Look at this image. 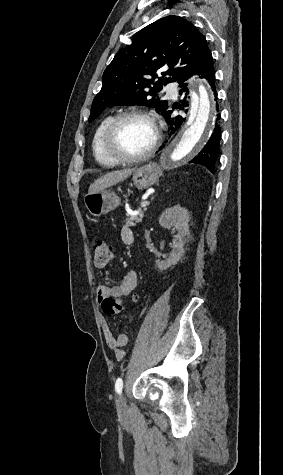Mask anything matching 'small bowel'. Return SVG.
I'll use <instances>...</instances> for the list:
<instances>
[{
    "instance_id": "1",
    "label": "small bowel",
    "mask_w": 283,
    "mask_h": 475,
    "mask_svg": "<svg viewBox=\"0 0 283 475\" xmlns=\"http://www.w3.org/2000/svg\"><path fill=\"white\" fill-rule=\"evenodd\" d=\"M122 242L127 245L131 246L135 242V236L133 231L130 227L124 226L120 232ZM130 281V287L133 291L137 286L138 276L136 272L129 271L124 278L122 279L121 283L118 285H109V284H99L95 289V298L99 305H101L102 309V299L104 293H121V290L125 286V281ZM120 312V311H119ZM101 329L106 340L108 347L113 351L115 358L120 361L125 357V348L128 345L129 339L128 336L125 334H118L117 336L113 335V332L106 321L105 318H102L100 321Z\"/></svg>"
}]
</instances>
